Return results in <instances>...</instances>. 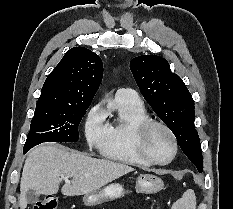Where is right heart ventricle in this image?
<instances>
[{
    "label": "right heart ventricle",
    "mask_w": 233,
    "mask_h": 209,
    "mask_svg": "<svg viewBox=\"0 0 233 209\" xmlns=\"http://www.w3.org/2000/svg\"><path fill=\"white\" fill-rule=\"evenodd\" d=\"M108 112H116L117 116L106 124L107 136L99 147L101 154L110 160L133 166H150L141 158L135 145L137 125L149 118L143 103L116 93L109 101Z\"/></svg>",
    "instance_id": "1"
}]
</instances>
